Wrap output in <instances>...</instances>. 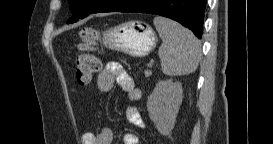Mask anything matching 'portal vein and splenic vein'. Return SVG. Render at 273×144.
<instances>
[{
	"label": "portal vein and splenic vein",
	"mask_w": 273,
	"mask_h": 144,
	"mask_svg": "<svg viewBox=\"0 0 273 144\" xmlns=\"http://www.w3.org/2000/svg\"><path fill=\"white\" fill-rule=\"evenodd\" d=\"M148 66H149V67H152V66H153V62H150V63L148 64Z\"/></svg>",
	"instance_id": "obj_1"
}]
</instances>
